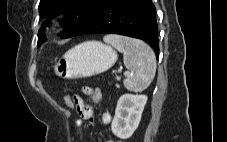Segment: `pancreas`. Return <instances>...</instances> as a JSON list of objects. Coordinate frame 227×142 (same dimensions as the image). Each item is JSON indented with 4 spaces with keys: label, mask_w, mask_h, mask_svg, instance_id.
Instances as JSON below:
<instances>
[{
    "label": "pancreas",
    "mask_w": 227,
    "mask_h": 142,
    "mask_svg": "<svg viewBox=\"0 0 227 142\" xmlns=\"http://www.w3.org/2000/svg\"><path fill=\"white\" fill-rule=\"evenodd\" d=\"M116 79L119 81L120 80V77H117Z\"/></svg>",
    "instance_id": "1"
}]
</instances>
